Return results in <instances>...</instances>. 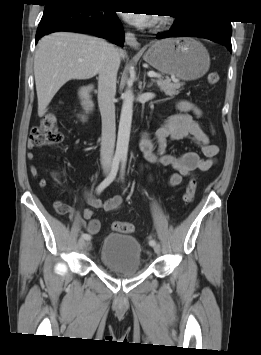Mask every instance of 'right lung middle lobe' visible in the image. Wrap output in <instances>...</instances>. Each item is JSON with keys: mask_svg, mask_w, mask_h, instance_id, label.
<instances>
[{"mask_svg": "<svg viewBox=\"0 0 261 355\" xmlns=\"http://www.w3.org/2000/svg\"><path fill=\"white\" fill-rule=\"evenodd\" d=\"M88 2L97 3L99 0H87Z\"/></svg>", "mask_w": 261, "mask_h": 355, "instance_id": "right-lung-middle-lobe-1", "label": "right lung middle lobe"}]
</instances>
